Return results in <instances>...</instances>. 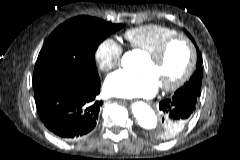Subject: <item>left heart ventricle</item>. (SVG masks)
Returning <instances> with one entry per match:
<instances>
[{"mask_svg":"<svg viewBox=\"0 0 240 160\" xmlns=\"http://www.w3.org/2000/svg\"><path fill=\"white\" fill-rule=\"evenodd\" d=\"M189 60L187 46L182 42L174 43L161 62H154L147 57L141 67L142 72L154 74L159 85L172 84L185 71Z\"/></svg>","mask_w":240,"mask_h":160,"instance_id":"left-heart-ventricle-1","label":"left heart ventricle"}]
</instances>
